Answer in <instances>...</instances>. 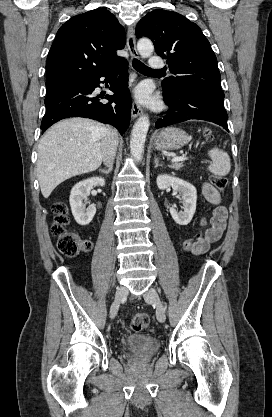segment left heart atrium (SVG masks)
Wrapping results in <instances>:
<instances>
[{
	"label": "left heart atrium",
	"instance_id": "left-heart-atrium-1",
	"mask_svg": "<svg viewBox=\"0 0 272 417\" xmlns=\"http://www.w3.org/2000/svg\"><path fill=\"white\" fill-rule=\"evenodd\" d=\"M134 97L142 104L154 105L157 103L155 97L152 95L150 86L146 84H142L135 89Z\"/></svg>",
	"mask_w": 272,
	"mask_h": 417
}]
</instances>
